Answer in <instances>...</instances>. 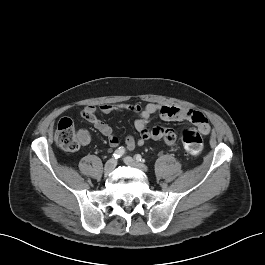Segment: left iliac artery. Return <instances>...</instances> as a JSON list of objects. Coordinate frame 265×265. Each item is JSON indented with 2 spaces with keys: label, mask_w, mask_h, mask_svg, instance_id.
<instances>
[{
  "label": "left iliac artery",
  "mask_w": 265,
  "mask_h": 265,
  "mask_svg": "<svg viewBox=\"0 0 265 265\" xmlns=\"http://www.w3.org/2000/svg\"><path fill=\"white\" fill-rule=\"evenodd\" d=\"M135 159H136L138 162H144V159L142 158V156H141L140 154L135 155Z\"/></svg>",
  "instance_id": "left-iliac-artery-1"
}]
</instances>
